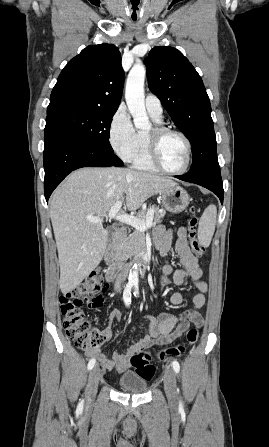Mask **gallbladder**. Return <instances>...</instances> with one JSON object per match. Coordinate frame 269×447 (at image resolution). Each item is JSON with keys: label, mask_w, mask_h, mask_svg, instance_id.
I'll return each instance as SVG.
<instances>
[{"label": "gallbladder", "mask_w": 269, "mask_h": 447, "mask_svg": "<svg viewBox=\"0 0 269 447\" xmlns=\"http://www.w3.org/2000/svg\"><path fill=\"white\" fill-rule=\"evenodd\" d=\"M106 229L108 231V243H109V241H112L113 229H112V227H106Z\"/></svg>", "instance_id": "obj_1"}]
</instances>
